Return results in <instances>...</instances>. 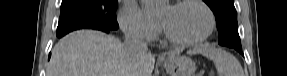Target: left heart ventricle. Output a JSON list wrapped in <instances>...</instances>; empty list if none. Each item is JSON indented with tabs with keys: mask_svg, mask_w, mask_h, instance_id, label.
<instances>
[{
	"mask_svg": "<svg viewBox=\"0 0 287 76\" xmlns=\"http://www.w3.org/2000/svg\"><path fill=\"white\" fill-rule=\"evenodd\" d=\"M160 17L168 30L180 39L196 38L204 33L208 25L206 12L195 4L167 6Z\"/></svg>",
	"mask_w": 287,
	"mask_h": 76,
	"instance_id": "1",
	"label": "left heart ventricle"
}]
</instances>
